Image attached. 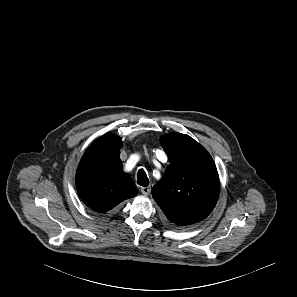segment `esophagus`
Here are the masks:
<instances>
[{
    "mask_svg": "<svg viewBox=\"0 0 297 297\" xmlns=\"http://www.w3.org/2000/svg\"><path fill=\"white\" fill-rule=\"evenodd\" d=\"M140 190H141L142 194L148 195L151 191V187L150 186L141 187Z\"/></svg>",
    "mask_w": 297,
    "mask_h": 297,
    "instance_id": "esophagus-1",
    "label": "esophagus"
}]
</instances>
